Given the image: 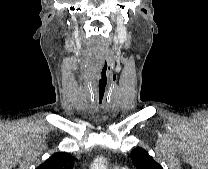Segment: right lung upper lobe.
<instances>
[{
    "instance_id": "cb5924a9",
    "label": "right lung upper lobe",
    "mask_w": 208,
    "mask_h": 169,
    "mask_svg": "<svg viewBox=\"0 0 208 169\" xmlns=\"http://www.w3.org/2000/svg\"><path fill=\"white\" fill-rule=\"evenodd\" d=\"M75 158L66 152L53 154L36 169H72Z\"/></svg>"
}]
</instances>
